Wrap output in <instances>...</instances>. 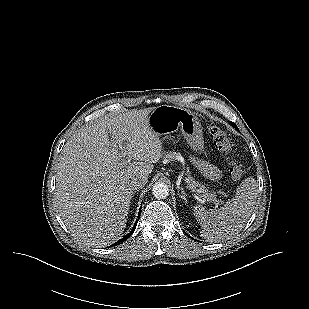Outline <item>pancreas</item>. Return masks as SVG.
Masks as SVG:
<instances>
[{"label": "pancreas", "mask_w": 309, "mask_h": 309, "mask_svg": "<svg viewBox=\"0 0 309 309\" xmlns=\"http://www.w3.org/2000/svg\"><path fill=\"white\" fill-rule=\"evenodd\" d=\"M176 153L169 152L165 155V157L169 160L176 159ZM186 182L188 183V187L192 190H196L198 193H202L203 196L207 199V201H214L216 200V193L214 191H209L206 189L204 185L199 184L196 182L191 176L186 178ZM198 187V189H196Z\"/></svg>", "instance_id": "obj_1"}]
</instances>
